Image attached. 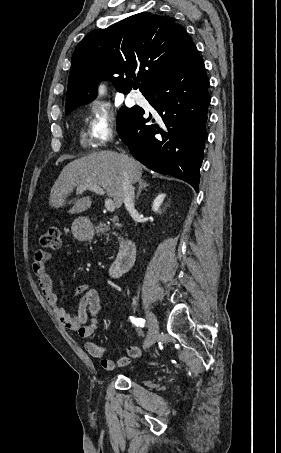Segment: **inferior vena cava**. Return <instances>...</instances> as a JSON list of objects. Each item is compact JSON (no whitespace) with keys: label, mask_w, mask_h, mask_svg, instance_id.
Masks as SVG:
<instances>
[{"label":"inferior vena cava","mask_w":281,"mask_h":453,"mask_svg":"<svg viewBox=\"0 0 281 453\" xmlns=\"http://www.w3.org/2000/svg\"><path fill=\"white\" fill-rule=\"evenodd\" d=\"M121 158H122V160H127L128 156H127V154H123V152H121ZM122 182H123L122 186H123V192H124L123 202H125V206H126L128 212H130V214H136L137 210L135 208V202H134L135 190H134L133 184H131V182L129 180V176H128L126 170H123Z\"/></svg>","instance_id":"602c4592"}]
</instances>
